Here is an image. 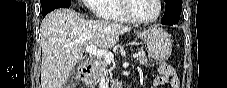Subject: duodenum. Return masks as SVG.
Segmentation results:
<instances>
[{
    "instance_id": "duodenum-1",
    "label": "duodenum",
    "mask_w": 227,
    "mask_h": 88,
    "mask_svg": "<svg viewBox=\"0 0 227 88\" xmlns=\"http://www.w3.org/2000/svg\"><path fill=\"white\" fill-rule=\"evenodd\" d=\"M94 61L92 59H89V60H85L82 62L81 64V68H80V71L82 74H85L88 72V70L92 67ZM120 82H118L113 88H118L120 87Z\"/></svg>"
}]
</instances>
